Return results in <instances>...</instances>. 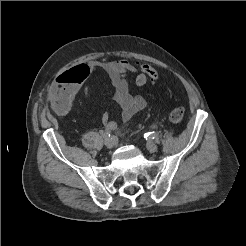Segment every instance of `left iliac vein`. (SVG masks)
Returning a JSON list of instances; mask_svg holds the SVG:
<instances>
[{"mask_svg":"<svg viewBox=\"0 0 246 246\" xmlns=\"http://www.w3.org/2000/svg\"><path fill=\"white\" fill-rule=\"evenodd\" d=\"M146 148L149 152H156L158 147L154 142H149L147 143Z\"/></svg>","mask_w":246,"mask_h":246,"instance_id":"obj_1","label":"left iliac vein"}]
</instances>
